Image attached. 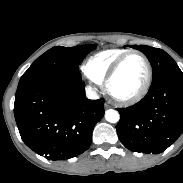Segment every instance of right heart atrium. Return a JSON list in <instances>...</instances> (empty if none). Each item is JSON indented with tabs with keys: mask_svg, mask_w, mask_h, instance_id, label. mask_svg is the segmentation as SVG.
I'll use <instances>...</instances> for the list:
<instances>
[{
	"mask_svg": "<svg viewBox=\"0 0 183 183\" xmlns=\"http://www.w3.org/2000/svg\"><path fill=\"white\" fill-rule=\"evenodd\" d=\"M81 70L84 77L89 81V86H88L89 90L95 91L96 87L102 83V79L91 70L88 63L84 64L81 67Z\"/></svg>",
	"mask_w": 183,
	"mask_h": 183,
	"instance_id": "right-heart-atrium-1",
	"label": "right heart atrium"
}]
</instances>
